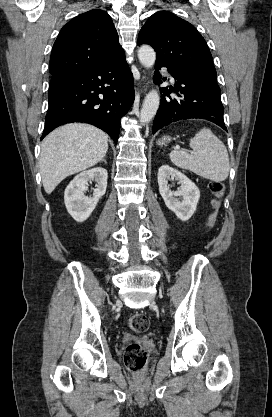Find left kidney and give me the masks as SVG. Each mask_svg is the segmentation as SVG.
Masks as SVG:
<instances>
[{
  "label": "left kidney",
  "instance_id": "5707ae66",
  "mask_svg": "<svg viewBox=\"0 0 272 417\" xmlns=\"http://www.w3.org/2000/svg\"><path fill=\"white\" fill-rule=\"evenodd\" d=\"M170 179L177 180L181 185L180 189L171 191L168 184ZM158 185L160 195L168 209L174 212L180 220H189L196 211L200 198L197 186L186 175L169 165H162L159 168Z\"/></svg>",
  "mask_w": 272,
  "mask_h": 417
}]
</instances>
